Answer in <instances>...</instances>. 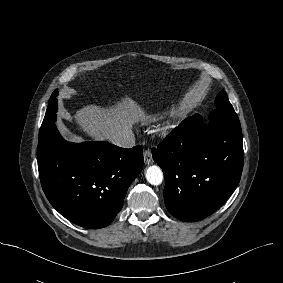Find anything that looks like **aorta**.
I'll return each instance as SVG.
<instances>
[{"instance_id": "obj_1", "label": "aorta", "mask_w": 283, "mask_h": 283, "mask_svg": "<svg viewBox=\"0 0 283 283\" xmlns=\"http://www.w3.org/2000/svg\"><path fill=\"white\" fill-rule=\"evenodd\" d=\"M145 176L151 185H160L163 181L162 170L156 165L149 166Z\"/></svg>"}]
</instances>
